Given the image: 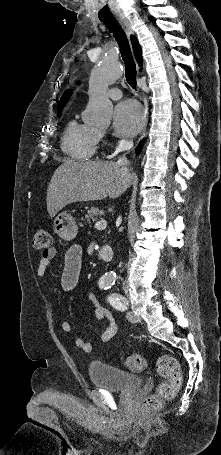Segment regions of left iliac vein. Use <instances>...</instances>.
Segmentation results:
<instances>
[{
  "label": "left iliac vein",
  "instance_id": "4c4485c4",
  "mask_svg": "<svg viewBox=\"0 0 221 455\" xmlns=\"http://www.w3.org/2000/svg\"><path fill=\"white\" fill-rule=\"evenodd\" d=\"M128 301V300H127ZM126 317L127 319L131 322V323H138L139 322V317H137L133 312L131 311H127L126 313Z\"/></svg>",
  "mask_w": 221,
  "mask_h": 455
}]
</instances>
